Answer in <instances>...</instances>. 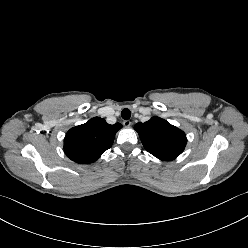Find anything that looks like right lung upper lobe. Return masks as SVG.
<instances>
[{
	"label": "right lung upper lobe",
	"mask_w": 248,
	"mask_h": 248,
	"mask_svg": "<svg viewBox=\"0 0 248 248\" xmlns=\"http://www.w3.org/2000/svg\"><path fill=\"white\" fill-rule=\"evenodd\" d=\"M121 128L120 123L110 125L103 118L94 117L67 132L64 138L65 154L76 163L95 162L112 146L115 134Z\"/></svg>",
	"instance_id": "1"
}]
</instances>
